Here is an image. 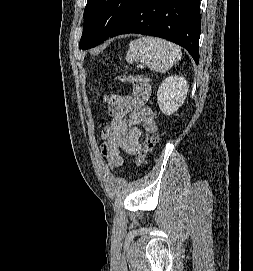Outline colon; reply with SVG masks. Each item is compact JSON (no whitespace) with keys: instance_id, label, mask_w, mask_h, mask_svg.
<instances>
[{"instance_id":"1","label":"colon","mask_w":253,"mask_h":271,"mask_svg":"<svg viewBox=\"0 0 253 271\" xmlns=\"http://www.w3.org/2000/svg\"><path fill=\"white\" fill-rule=\"evenodd\" d=\"M133 80L138 83H147V81L142 77H135ZM159 138V134H153L147 137L144 149L138 159V164L144 163L151 156L159 142Z\"/></svg>"}]
</instances>
